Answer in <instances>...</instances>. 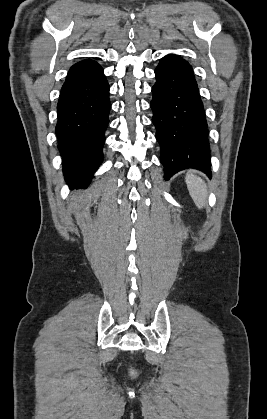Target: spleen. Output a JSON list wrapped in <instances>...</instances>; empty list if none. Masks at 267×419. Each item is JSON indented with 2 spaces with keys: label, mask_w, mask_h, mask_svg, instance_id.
Returning a JSON list of instances; mask_svg holds the SVG:
<instances>
[{
  "label": "spleen",
  "mask_w": 267,
  "mask_h": 419,
  "mask_svg": "<svg viewBox=\"0 0 267 419\" xmlns=\"http://www.w3.org/2000/svg\"><path fill=\"white\" fill-rule=\"evenodd\" d=\"M185 182L194 203L198 208L202 209L205 206L208 195L205 182L191 172L186 174Z\"/></svg>",
  "instance_id": "spleen-1"
}]
</instances>
